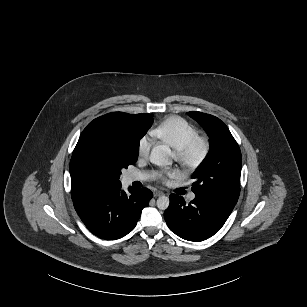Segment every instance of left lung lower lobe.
Returning <instances> with one entry per match:
<instances>
[{"label":"left lung lower lobe","instance_id":"left-lung-lower-lobe-1","mask_svg":"<svg viewBox=\"0 0 307 307\" xmlns=\"http://www.w3.org/2000/svg\"><path fill=\"white\" fill-rule=\"evenodd\" d=\"M164 212L170 230L189 241H202L217 233L232 210L195 197L186 204L181 196L170 195Z\"/></svg>","mask_w":307,"mask_h":307}]
</instances>
